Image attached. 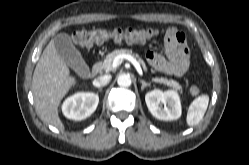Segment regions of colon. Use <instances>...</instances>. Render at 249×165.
<instances>
[{
	"label": "colon",
	"mask_w": 249,
	"mask_h": 165,
	"mask_svg": "<svg viewBox=\"0 0 249 165\" xmlns=\"http://www.w3.org/2000/svg\"><path fill=\"white\" fill-rule=\"evenodd\" d=\"M160 33L159 30L153 28H114L112 30L106 29H92V30H78L72 34L73 41L81 47H90L94 43L100 44L106 41H114L116 43L126 41L127 43H141L145 42ZM180 40L185 42L183 33L179 34ZM199 89L197 86H191V93L197 94Z\"/></svg>",
	"instance_id": "5ec220e1"
}]
</instances>
